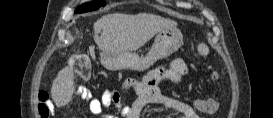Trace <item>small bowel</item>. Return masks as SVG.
<instances>
[{
	"mask_svg": "<svg viewBox=\"0 0 273 118\" xmlns=\"http://www.w3.org/2000/svg\"><path fill=\"white\" fill-rule=\"evenodd\" d=\"M187 74L186 64L182 59H174L168 65L158 67L149 72L141 81L129 80L122 93L105 92L100 97H95L84 87H78L77 93L87 101L92 114L100 115L104 108L114 106L121 118H139L142 110L147 106H159L167 110L181 113L180 118H198L196 113L197 102L193 105L170 98L162 94L161 85L166 81L180 83L181 77ZM133 89L138 98L129 106L125 104V95Z\"/></svg>",
	"mask_w": 273,
	"mask_h": 118,
	"instance_id": "c3829d8e",
	"label": "small bowel"
}]
</instances>
